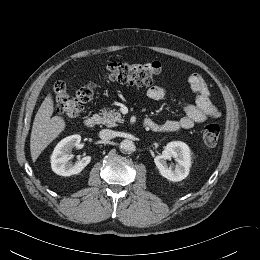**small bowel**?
<instances>
[{"label": "small bowel", "mask_w": 260, "mask_h": 260, "mask_svg": "<svg viewBox=\"0 0 260 260\" xmlns=\"http://www.w3.org/2000/svg\"><path fill=\"white\" fill-rule=\"evenodd\" d=\"M188 84L196 93L195 104H184V116L180 119L166 120L162 123L151 120L153 126L150 129L157 132H175L192 128L195 124L202 123L208 118L220 116L218 109L211 103L210 93L203 77L198 73H193L188 78ZM147 96L152 100H161L166 96V90L161 86H152L147 90Z\"/></svg>", "instance_id": "obj_1"}]
</instances>
